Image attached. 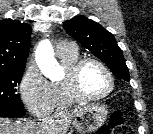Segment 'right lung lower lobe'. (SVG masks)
<instances>
[{
    "label": "right lung lower lobe",
    "mask_w": 153,
    "mask_h": 134,
    "mask_svg": "<svg viewBox=\"0 0 153 134\" xmlns=\"http://www.w3.org/2000/svg\"><path fill=\"white\" fill-rule=\"evenodd\" d=\"M25 115L22 107L0 106V117H21Z\"/></svg>",
    "instance_id": "98d812e1"
}]
</instances>
